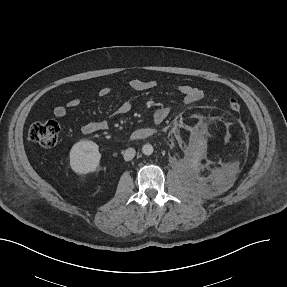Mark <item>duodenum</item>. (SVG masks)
<instances>
[{"mask_svg":"<svg viewBox=\"0 0 287 287\" xmlns=\"http://www.w3.org/2000/svg\"><path fill=\"white\" fill-rule=\"evenodd\" d=\"M152 135L153 131L150 128H140L131 133L130 140H143L151 137Z\"/></svg>","mask_w":287,"mask_h":287,"instance_id":"1","label":"duodenum"}]
</instances>
